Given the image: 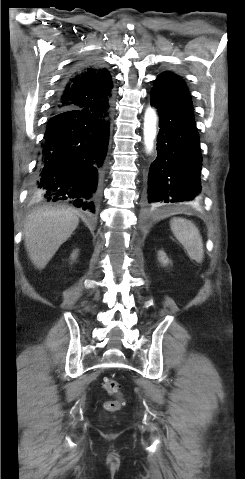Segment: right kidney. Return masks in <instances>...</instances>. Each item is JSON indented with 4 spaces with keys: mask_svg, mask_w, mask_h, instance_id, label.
<instances>
[{
    "mask_svg": "<svg viewBox=\"0 0 245 479\" xmlns=\"http://www.w3.org/2000/svg\"><path fill=\"white\" fill-rule=\"evenodd\" d=\"M77 257V251L73 252L71 255V259L74 260Z\"/></svg>",
    "mask_w": 245,
    "mask_h": 479,
    "instance_id": "right-kidney-1",
    "label": "right kidney"
}]
</instances>
